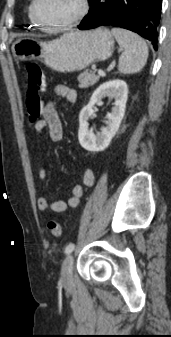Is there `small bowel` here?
Instances as JSON below:
<instances>
[{"label": "small bowel", "mask_w": 171, "mask_h": 337, "mask_svg": "<svg viewBox=\"0 0 171 337\" xmlns=\"http://www.w3.org/2000/svg\"><path fill=\"white\" fill-rule=\"evenodd\" d=\"M54 93L61 98L66 99L70 104L77 102V92L66 85H57ZM47 129L49 138L52 142H58L63 137V127L59 118L56 107L52 101H47L46 106L42 110V118L36 122L35 131L41 135ZM38 176L41 180H46L48 173L44 167L38 170ZM94 172L92 169H85L82 176V183L76 184L72 188V194L67 200H51L50 197L44 195L38 199V207L41 210H50L55 213L64 212L69 207L78 206L83 195L84 187L92 186L94 183Z\"/></svg>", "instance_id": "obj_1"}]
</instances>
